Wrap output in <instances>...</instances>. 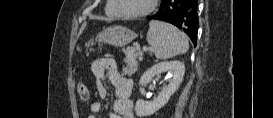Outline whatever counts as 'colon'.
I'll return each mask as SVG.
<instances>
[{"instance_id":"1","label":"colon","mask_w":273,"mask_h":118,"mask_svg":"<svg viewBox=\"0 0 273 118\" xmlns=\"http://www.w3.org/2000/svg\"><path fill=\"white\" fill-rule=\"evenodd\" d=\"M78 95L83 98L87 95L88 89L86 84L83 81H79L76 87Z\"/></svg>"}]
</instances>
